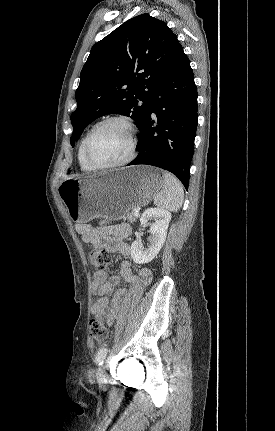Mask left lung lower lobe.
I'll use <instances>...</instances> for the list:
<instances>
[{"label": "left lung lower lobe", "mask_w": 275, "mask_h": 431, "mask_svg": "<svg viewBox=\"0 0 275 431\" xmlns=\"http://www.w3.org/2000/svg\"><path fill=\"white\" fill-rule=\"evenodd\" d=\"M197 96L193 70L181 46L156 87L140 128L139 154L128 165L163 168L188 189L198 119Z\"/></svg>", "instance_id": "obj_1"}]
</instances>
